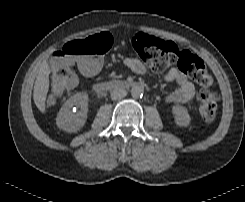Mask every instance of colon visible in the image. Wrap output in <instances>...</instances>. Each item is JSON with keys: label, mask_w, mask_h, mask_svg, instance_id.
Returning a JSON list of instances; mask_svg holds the SVG:
<instances>
[{"label": "colon", "mask_w": 245, "mask_h": 202, "mask_svg": "<svg viewBox=\"0 0 245 202\" xmlns=\"http://www.w3.org/2000/svg\"><path fill=\"white\" fill-rule=\"evenodd\" d=\"M114 38L107 32L88 37L85 40L62 44L54 51L52 91L60 94L69 90L74 82V60H80L85 73H91V63L99 64L98 57L109 51ZM131 48L153 72L161 73L170 65L191 74L201 85L199 92V116L205 122L214 120L218 112V93L211 89L212 79L206 72L203 60L170 40L159 39L145 33H137L131 39Z\"/></svg>", "instance_id": "colon-1"}]
</instances>
